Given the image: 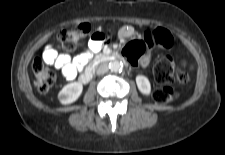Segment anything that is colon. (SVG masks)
<instances>
[{
    "instance_id": "1",
    "label": "colon",
    "mask_w": 225,
    "mask_h": 155,
    "mask_svg": "<svg viewBox=\"0 0 225 155\" xmlns=\"http://www.w3.org/2000/svg\"><path fill=\"white\" fill-rule=\"evenodd\" d=\"M91 30L87 23L75 26L72 29L63 30L59 33L61 47L66 51L75 50L82 40ZM173 44V37L164 28H155L144 34L143 40H133L123 47L121 55L126 59L131 67H136L145 53L147 46L170 47ZM191 66L187 62L178 63L171 57L161 58L154 65V77L161 84L155 88L152 97L155 102L160 104L170 103L178 97L177 92L171 87L172 83H185L188 80V71ZM35 75V85L39 92L46 93L54 85L56 74L46 66L41 59H36L32 64Z\"/></svg>"
}]
</instances>
